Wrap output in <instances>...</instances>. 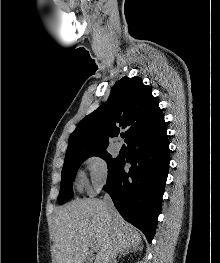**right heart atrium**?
Listing matches in <instances>:
<instances>
[{"label":"right heart atrium","mask_w":220,"mask_h":263,"mask_svg":"<svg viewBox=\"0 0 220 263\" xmlns=\"http://www.w3.org/2000/svg\"><path fill=\"white\" fill-rule=\"evenodd\" d=\"M85 167L88 172L87 189L91 193L99 192L109 179L107 161L102 156L93 155L85 160Z\"/></svg>","instance_id":"d8ad5b80"}]
</instances>
